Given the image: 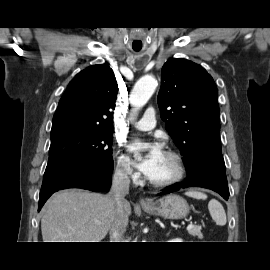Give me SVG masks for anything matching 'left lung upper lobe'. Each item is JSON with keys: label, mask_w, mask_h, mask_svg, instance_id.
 Here are the masks:
<instances>
[{"label": "left lung upper lobe", "mask_w": 270, "mask_h": 270, "mask_svg": "<svg viewBox=\"0 0 270 270\" xmlns=\"http://www.w3.org/2000/svg\"><path fill=\"white\" fill-rule=\"evenodd\" d=\"M217 87L200 65L169 59L161 70L158 105L166 130L181 150L188 175L207 161H224Z\"/></svg>", "instance_id": "5c2ea615"}]
</instances>
